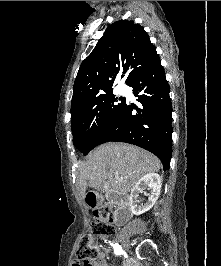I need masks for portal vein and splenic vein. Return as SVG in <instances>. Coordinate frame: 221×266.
I'll use <instances>...</instances> for the list:
<instances>
[{
    "label": "portal vein and splenic vein",
    "instance_id": "obj_1",
    "mask_svg": "<svg viewBox=\"0 0 221 266\" xmlns=\"http://www.w3.org/2000/svg\"><path fill=\"white\" fill-rule=\"evenodd\" d=\"M114 178H115V180H117V181H122V178L119 177L118 175H115Z\"/></svg>",
    "mask_w": 221,
    "mask_h": 266
}]
</instances>
